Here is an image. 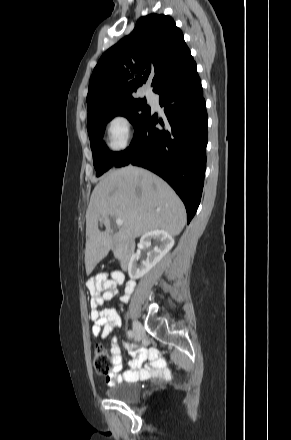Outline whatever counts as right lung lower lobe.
Returning a JSON list of instances; mask_svg holds the SVG:
<instances>
[{"label": "right lung lower lobe", "mask_w": 291, "mask_h": 440, "mask_svg": "<svg viewBox=\"0 0 291 440\" xmlns=\"http://www.w3.org/2000/svg\"><path fill=\"white\" fill-rule=\"evenodd\" d=\"M155 93L160 96L164 115L149 111L114 166H141L166 180L184 202L189 223L202 195L208 138L207 112L196 66Z\"/></svg>", "instance_id": "1"}]
</instances>
